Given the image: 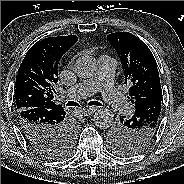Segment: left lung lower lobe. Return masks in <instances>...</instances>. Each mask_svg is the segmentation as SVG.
I'll return each mask as SVG.
<instances>
[{"mask_svg": "<svg viewBox=\"0 0 184 184\" xmlns=\"http://www.w3.org/2000/svg\"><path fill=\"white\" fill-rule=\"evenodd\" d=\"M161 101L162 99L160 98H153L146 101L136 108L134 116L140 121L144 120V117L148 119L149 117L147 115L152 116L161 110Z\"/></svg>", "mask_w": 184, "mask_h": 184, "instance_id": "0a47b994", "label": "left lung lower lobe"}]
</instances>
